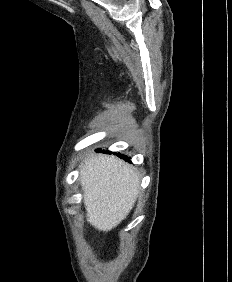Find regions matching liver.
Segmentation results:
<instances>
[{
	"label": "liver",
	"instance_id": "liver-1",
	"mask_svg": "<svg viewBox=\"0 0 232 282\" xmlns=\"http://www.w3.org/2000/svg\"><path fill=\"white\" fill-rule=\"evenodd\" d=\"M87 221L100 231H110L132 210L139 193L134 168L114 156L98 155L82 165Z\"/></svg>",
	"mask_w": 232,
	"mask_h": 282
}]
</instances>
